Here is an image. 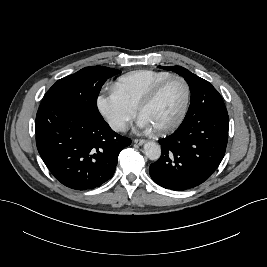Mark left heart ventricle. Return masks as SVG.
I'll return each instance as SVG.
<instances>
[{"label": "left heart ventricle", "mask_w": 267, "mask_h": 267, "mask_svg": "<svg viewBox=\"0 0 267 267\" xmlns=\"http://www.w3.org/2000/svg\"><path fill=\"white\" fill-rule=\"evenodd\" d=\"M185 100V88L181 81H169L161 89L159 95L141 116L147 119L152 128L172 123L180 114Z\"/></svg>", "instance_id": "left-heart-ventricle-1"}]
</instances>
